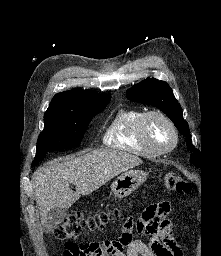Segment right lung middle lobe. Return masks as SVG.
I'll use <instances>...</instances> for the list:
<instances>
[{
	"label": "right lung middle lobe",
	"instance_id": "right-lung-middle-lobe-1",
	"mask_svg": "<svg viewBox=\"0 0 221 256\" xmlns=\"http://www.w3.org/2000/svg\"><path fill=\"white\" fill-rule=\"evenodd\" d=\"M111 97L97 98L78 106L76 111L45 113L44 130L37 142V151L32 166L41 161L48 152L73 148L80 145L92 117L100 113Z\"/></svg>",
	"mask_w": 221,
	"mask_h": 256
}]
</instances>
